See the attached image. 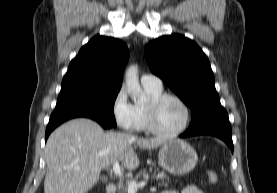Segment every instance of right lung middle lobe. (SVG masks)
Wrapping results in <instances>:
<instances>
[{
    "instance_id": "right-lung-middle-lobe-1",
    "label": "right lung middle lobe",
    "mask_w": 277,
    "mask_h": 193,
    "mask_svg": "<svg viewBox=\"0 0 277 193\" xmlns=\"http://www.w3.org/2000/svg\"><path fill=\"white\" fill-rule=\"evenodd\" d=\"M119 90L97 87H74L61 90L54 111H77L91 114L116 126L114 103Z\"/></svg>"
}]
</instances>
